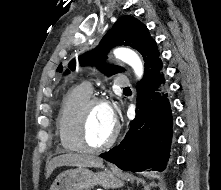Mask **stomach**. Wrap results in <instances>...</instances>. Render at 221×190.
<instances>
[{
    "label": "stomach",
    "mask_w": 221,
    "mask_h": 190,
    "mask_svg": "<svg viewBox=\"0 0 221 190\" xmlns=\"http://www.w3.org/2000/svg\"><path fill=\"white\" fill-rule=\"evenodd\" d=\"M95 185L115 189L124 185V179L110 169L93 172L79 167L67 170L56 177L50 190H89Z\"/></svg>",
    "instance_id": "1"
}]
</instances>
